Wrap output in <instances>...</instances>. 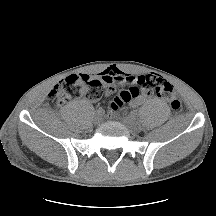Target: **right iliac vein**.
Returning <instances> with one entry per match:
<instances>
[{"label":"right iliac vein","mask_w":216,"mask_h":216,"mask_svg":"<svg viewBox=\"0 0 216 216\" xmlns=\"http://www.w3.org/2000/svg\"><path fill=\"white\" fill-rule=\"evenodd\" d=\"M102 121V117L100 115H95L93 122L94 124H99Z\"/></svg>","instance_id":"right-iliac-vein-1"}]
</instances>
